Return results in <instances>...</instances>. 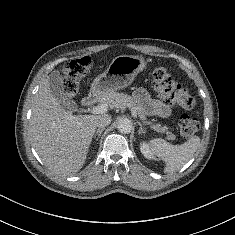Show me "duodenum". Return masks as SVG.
Wrapping results in <instances>:
<instances>
[{
    "label": "duodenum",
    "mask_w": 235,
    "mask_h": 235,
    "mask_svg": "<svg viewBox=\"0 0 235 235\" xmlns=\"http://www.w3.org/2000/svg\"><path fill=\"white\" fill-rule=\"evenodd\" d=\"M96 101H97V93L96 92H90L83 98L82 105L84 107H90L93 104H95Z\"/></svg>",
    "instance_id": "1"
}]
</instances>
